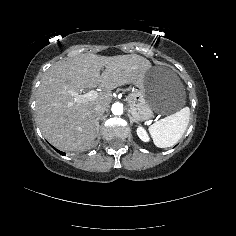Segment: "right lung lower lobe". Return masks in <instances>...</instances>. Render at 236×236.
Masks as SVG:
<instances>
[{
    "label": "right lung lower lobe",
    "instance_id": "1",
    "mask_svg": "<svg viewBox=\"0 0 236 236\" xmlns=\"http://www.w3.org/2000/svg\"><path fill=\"white\" fill-rule=\"evenodd\" d=\"M55 149V148H54ZM56 150V149H55ZM57 152H59L61 155H65V153L61 152V151H58L56 150Z\"/></svg>",
    "mask_w": 236,
    "mask_h": 236
}]
</instances>
